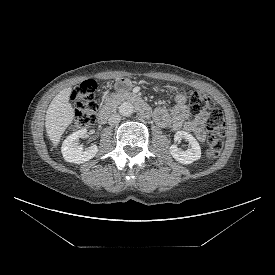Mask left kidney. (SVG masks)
Segmentation results:
<instances>
[{
	"mask_svg": "<svg viewBox=\"0 0 275 275\" xmlns=\"http://www.w3.org/2000/svg\"><path fill=\"white\" fill-rule=\"evenodd\" d=\"M181 139H185L189 142V148L186 150L179 149L177 147V142H180ZM175 143L170 146V153L172 157L182 163L190 164L201 157V148L198 141L188 132L178 131L174 135Z\"/></svg>",
	"mask_w": 275,
	"mask_h": 275,
	"instance_id": "5707ae66",
	"label": "left kidney"
}]
</instances>
